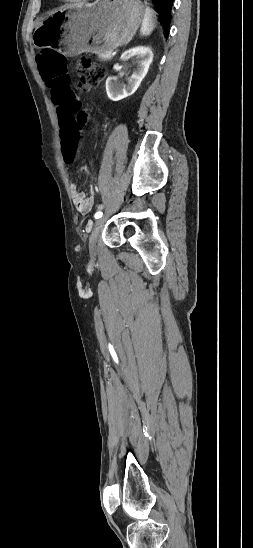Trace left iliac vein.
<instances>
[{"mask_svg":"<svg viewBox=\"0 0 253 548\" xmlns=\"http://www.w3.org/2000/svg\"><path fill=\"white\" fill-rule=\"evenodd\" d=\"M106 219V217L98 218L93 225V230L89 237V252L92 257L96 255L98 237L101 233Z\"/></svg>","mask_w":253,"mask_h":548,"instance_id":"1","label":"left iliac vein"}]
</instances>
